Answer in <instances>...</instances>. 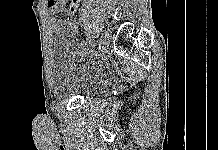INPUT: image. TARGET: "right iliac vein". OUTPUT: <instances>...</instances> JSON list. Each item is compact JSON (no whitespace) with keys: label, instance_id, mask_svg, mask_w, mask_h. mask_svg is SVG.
Segmentation results:
<instances>
[{"label":"right iliac vein","instance_id":"1","mask_svg":"<svg viewBox=\"0 0 218 150\" xmlns=\"http://www.w3.org/2000/svg\"><path fill=\"white\" fill-rule=\"evenodd\" d=\"M110 34L108 31H104L102 33V37H98V40H95V42L93 44L90 45V47L88 48V50L86 51L88 54H90L93 49L95 47H97L98 45L99 46H102L103 44H106L110 41Z\"/></svg>","mask_w":218,"mask_h":150}]
</instances>
